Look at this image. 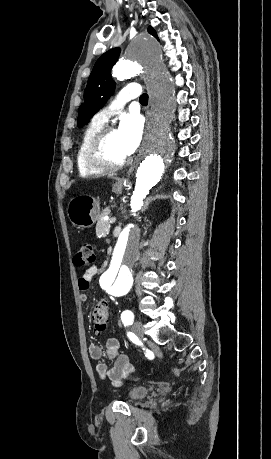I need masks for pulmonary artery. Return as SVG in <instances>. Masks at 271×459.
Wrapping results in <instances>:
<instances>
[{"label": "pulmonary artery", "mask_w": 271, "mask_h": 459, "mask_svg": "<svg viewBox=\"0 0 271 459\" xmlns=\"http://www.w3.org/2000/svg\"><path fill=\"white\" fill-rule=\"evenodd\" d=\"M139 84L134 81L127 83V89H120L118 95L114 96V101L103 108L95 115V119L102 124L107 123L108 119L121 110L123 104L129 103V98H138L141 92L137 89Z\"/></svg>", "instance_id": "e3ab8cb5"}]
</instances>
